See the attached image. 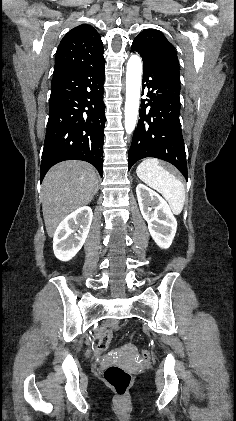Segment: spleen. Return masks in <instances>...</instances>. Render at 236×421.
<instances>
[{
	"label": "spleen",
	"mask_w": 236,
	"mask_h": 421,
	"mask_svg": "<svg viewBox=\"0 0 236 421\" xmlns=\"http://www.w3.org/2000/svg\"><path fill=\"white\" fill-rule=\"evenodd\" d=\"M136 172L143 182L161 192L169 202L173 215H180L184 206L185 186L179 178L161 166L157 158H144Z\"/></svg>",
	"instance_id": "obj_1"
}]
</instances>
